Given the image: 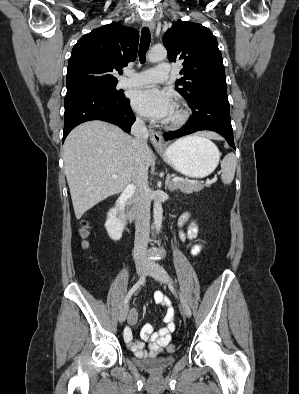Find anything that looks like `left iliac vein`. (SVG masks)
Returning <instances> with one entry per match:
<instances>
[{"label": "left iliac vein", "mask_w": 299, "mask_h": 394, "mask_svg": "<svg viewBox=\"0 0 299 394\" xmlns=\"http://www.w3.org/2000/svg\"><path fill=\"white\" fill-rule=\"evenodd\" d=\"M147 273L152 276L154 279L157 281L167 284L169 287L173 288V284L170 281V278L166 272V270L160 266L157 263L154 262H149L147 264ZM180 301H181V307L182 311L185 316L190 317L191 316V309L190 306L188 305L187 301L183 296L180 295Z\"/></svg>", "instance_id": "4c4485c4"}]
</instances>
